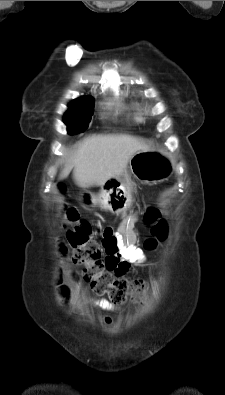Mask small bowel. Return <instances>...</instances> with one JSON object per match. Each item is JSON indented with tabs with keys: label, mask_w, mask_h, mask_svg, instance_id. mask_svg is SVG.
I'll return each instance as SVG.
<instances>
[{
	"label": "small bowel",
	"mask_w": 225,
	"mask_h": 395,
	"mask_svg": "<svg viewBox=\"0 0 225 395\" xmlns=\"http://www.w3.org/2000/svg\"><path fill=\"white\" fill-rule=\"evenodd\" d=\"M101 242L107 257L114 261L110 264L109 269L117 277L125 275L131 264L141 265L146 260L144 253L134 244V239L129 229V222L121 228L119 234L113 233L110 229L104 230ZM57 246L58 260H69V247H67L66 241L58 240ZM70 273L71 280L77 281V268L71 267ZM94 303L103 310H114V306L105 299L95 300ZM104 320L107 324H112L110 317H105Z\"/></svg>",
	"instance_id": "obj_1"
}]
</instances>
